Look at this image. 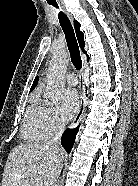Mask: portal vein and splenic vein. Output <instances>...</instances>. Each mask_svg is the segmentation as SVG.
Listing matches in <instances>:
<instances>
[{
	"instance_id": "portal-vein-and-splenic-vein-1",
	"label": "portal vein and splenic vein",
	"mask_w": 138,
	"mask_h": 186,
	"mask_svg": "<svg viewBox=\"0 0 138 186\" xmlns=\"http://www.w3.org/2000/svg\"><path fill=\"white\" fill-rule=\"evenodd\" d=\"M35 186H43V183H42V182H37V183L35 184Z\"/></svg>"
}]
</instances>
